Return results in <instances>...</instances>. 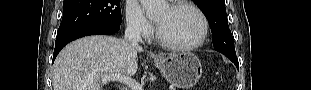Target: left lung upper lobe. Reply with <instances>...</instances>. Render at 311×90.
<instances>
[{
    "instance_id": "left-lung-upper-lobe-1",
    "label": "left lung upper lobe",
    "mask_w": 311,
    "mask_h": 90,
    "mask_svg": "<svg viewBox=\"0 0 311 90\" xmlns=\"http://www.w3.org/2000/svg\"><path fill=\"white\" fill-rule=\"evenodd\" d=\"M211 26L214 49L226 56L236 57L234 40L228 27L225 0H195Z\"/></svg>"
}]
</instances>
